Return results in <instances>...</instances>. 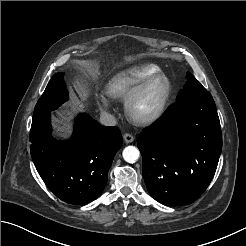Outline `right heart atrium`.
<instances>
[{
    "label": "right heart atrium",
    "instance_id": "1",
    "mask_svg": "<svg viewBox=\"0 0 246 246\" xmlns=\"http://www.w3.org/2000/svg\"><path fill=\"white\" fill-rule=\"evenodd\" d=\"M97 103L99 105V107L102 109V110H108L110 109V101L107 97L105 96H99L98 99H97Z\"/></svg>",
    "mask_w": 246,
    "mask_h": 246
}]
</instances>
